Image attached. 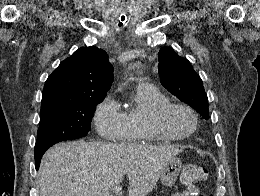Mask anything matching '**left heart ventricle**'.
I'll return each mask as SVG.
<instances>
[{
	"label": "left heart ventricle",
	"mask_w": 260,
	"mask_h": 196,
	"mask_svg": "<svg viewBox=\"0 0 260 196\" xmlns=\"http://www.w3.org/2000/svg\"><path fill=\"white\" fill-rule=\"evenodd\" d=\"M155 110L151 113L154 116ZM164 126L175 134H184L193 127L192 117L181 109L170 110L163 120Z\"/></svg>",
	"instance_id": "1"
}]
</instances>
